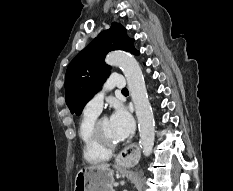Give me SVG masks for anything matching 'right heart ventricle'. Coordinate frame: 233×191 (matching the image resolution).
Segmentation results:
<instances>
[{"mask_svg":"<svg viewBox=\"0 0 233 191\" xmlns=\"http://www.w3.org/2000/svg\"><path fill=\"white\" fill-rule=\"evenodd\" d=\"M97 118V113L85 110L78 128L79 138L82 143L83 156L85 160L91 164L107 161L111 155V151L99 146L94 139L93 125Z\"/></svg>","mask_w":233,"mask_h":191,"instance_id":"e07e8e85","label":"right heart ventricle"}]
</instances>
